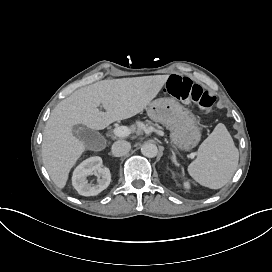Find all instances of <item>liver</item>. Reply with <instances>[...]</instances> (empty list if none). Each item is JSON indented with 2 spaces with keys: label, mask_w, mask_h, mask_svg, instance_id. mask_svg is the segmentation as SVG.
Segmentation results:
<instances>
[{
  "label": "liver",
  "mask_w": 272,
  "mask_h": 272,
  "mask_svg": "<svg viewBox=\"0 0 272 272\" xmlns=\"http://www.w3.org/2000/svg\"><path fill=\"white\" fill-rule=\"evenodd\" d=\"M169 75L102 80L74 91L52 110L43 132L42 159L58 188L66 185L70 169L85 151L73 135V126L83 124L101 130L130 118L156 97ZM102 104L106 112L97 107Z\"/></svg>",
  "instance_id": "liver-1"
}]
</instances>
